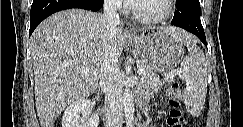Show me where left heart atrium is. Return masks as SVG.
<instances>
[{"label":"left heart atrium","instance_id":"left-heart-atrium-1","mask_svg":"<svg viewBox=\"0 0 243 127\" xmlns=\"http://www.w3.org/2000/svg\"><path fill=\"white\" fill-rule=\"evenodd\" d=\"M137 1L136 0H129L128 3L130 4H133V3H136Z\"/></svg>","mask_w":243,"mask_h":127}]
</instances>
